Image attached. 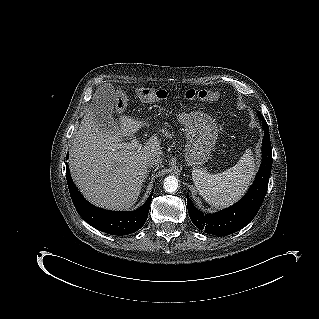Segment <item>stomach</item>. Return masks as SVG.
<instances>
[{
    "mask_svg": "<svg viewBox=\"0 0 319 319\" xmlns=\"http://www.w3.org/2000/svg\"><path fill=\"white\" fill-rule=\"evenodd\" d=\"M186 147L185 160L198 166L208 161L213 150L218 130L214 120L202 112H196L184 118Z\"/></svg>",
    "mask_w": 319,
    "mask_h": 319,
    "instance_id": "1",
    "label": "stomach"
}]
</instances>
